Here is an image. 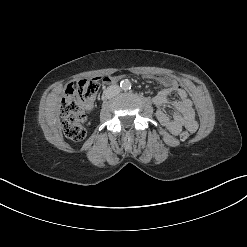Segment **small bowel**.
Returning a JSON list of instances; mask_svg holds the SVG:
<instances>
[{"mask_svg": "<svg viewBox=\"0 0 247 247\" xmlns=\"http://www.w3.org/2000/svg\"><path fill=\"white\" fill-rule=\"evenodd\" d=\"M118 77L110 76L104 78L105 84L116 82ZM156 79L163 85V90L155 95L152 99L153 103L159 107L156 111L158 121L172 134L178 135L183 127L189 132H194L197 128L195 120V112L193 109L192 101L189 99L186 90L182 85L173 77L170 76H156ZM175 92L179 100L170 101L168 95ZM92 101L85 104L84 108L90 109ZM171 105L175 109V114L170 118L161 108Z\"/></svg>", "mask_w": 247, "mask_h": 247, "instance_id": "obj_1", "label": "small bowel"}]
</instances>
